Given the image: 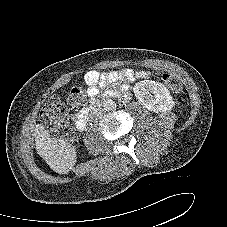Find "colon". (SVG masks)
Returning a JSON list of instances; mask_svg holds the SVG:
<instances>
[{
  "mask_svg": "<svg viewBox=\"0 0 227 227\" xmlns=\"http://www.w3.org/2000/svg\"><path fill=\"white\" fill-rule=\"evenodd\" d=\"M161 76L170 90L173 92L181 91V82L177 76L170 73H163ZM85 98L86 90L83 86H74L68 93V101L74 105L82 104ZM40 115L50 136L61 139L72 147H77V136L70 128L67 108L60 98L56 96L48 98Z\"/></svg>",
  "mask_w": 227,
  "mask_h": 227,
  "instance_id": "1",
  "label": "colon"
}]
</instances>
